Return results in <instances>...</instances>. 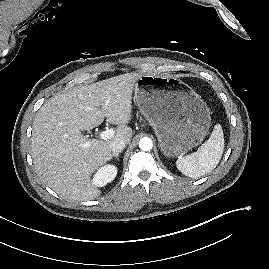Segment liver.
I'll use <instances>...</instances> for the list:
<instances>
[{"instance_id": "obj_1", "label": "liver", "mask_w": 269, "mask_h": 269, "mask_svg": "<svg viewBox=\"0 0 269 269\" xmlns=\"http://www.w3.org/2000/svg\"><path fill=\"white\" fill-rule=\"evenodd\" d=\"M142 73H125L74 88L50 98L33 122L31 155L41 180L68 200L97 198L100 190L92 173L111 158L116 139L129 143L132 129V92ZM118 125L107 140L87 139L81 131L99 126L104 119Z\"/></svg>"}]
</instances>
